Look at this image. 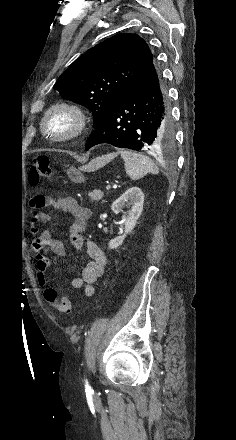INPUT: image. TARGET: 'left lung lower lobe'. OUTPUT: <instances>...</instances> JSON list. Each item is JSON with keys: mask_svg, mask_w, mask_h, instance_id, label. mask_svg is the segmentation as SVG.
<instances>
[{"mask_svg": "<svg viewBox=\"0 0 236 440\" xmlns=\"http://www.w3.org/2000/svg\"><path fill=\"white\" fill-rule=\"evenodd\" d=\"M172 138L168 92L153 60L92 132L86 150L100 143L136 151L153 150Z\"/></svg>", "mask_w": 236, "mask_h": 440, "instance_id": "1", "label": "left lung lower lobe"}]
</instances>
